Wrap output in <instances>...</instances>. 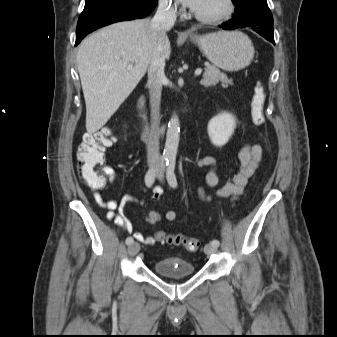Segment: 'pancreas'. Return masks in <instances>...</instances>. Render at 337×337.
Instances as JSON below:
<instances>
[{
  "label": "pancreas",
  "instance_id": "1",
  "mask_svg": "<svg viewBox=\"0 0 337 337\" xmlns=\"http://www.w3.org/2000/svg\"><path fill=\"white\" fill-rule=\"evenodd\" d=\"M205 66V72L203 74V79L201 80L203 86H215L219 82H221L223 88L232 85V80L228 79L227 75L221 72L216 66L209 63H205Z\"/></svg>",
  "mask_w": 337,
  "mask_h": 337
}]
</instances>
